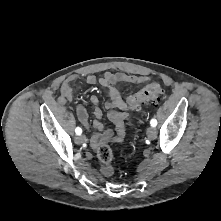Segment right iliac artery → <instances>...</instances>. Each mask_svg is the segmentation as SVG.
<instances>
[{
	"label": "right iliac artery",
	"instance_id": "82829eb1",
	"mask_svg": "<svg viewBox=\"0 0 221 221\" xmlns=\"http://www.w3.org/2000/svg\"><path fill=\"white\" fill-rule=\"evenodd\" d=\"M75 132H76L77 135H81L82 129H81L80 127H77V128L75 129Z\"/></svg>",
	"mask_w": 221,
	"mask_h": 221
}]
</instances>
